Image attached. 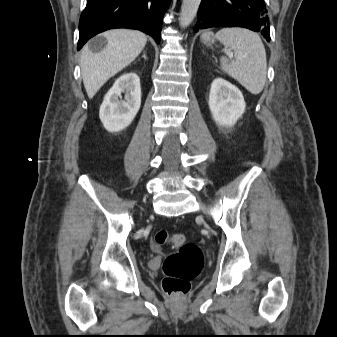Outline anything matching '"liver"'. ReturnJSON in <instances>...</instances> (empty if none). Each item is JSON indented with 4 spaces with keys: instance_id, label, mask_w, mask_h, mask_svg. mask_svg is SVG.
<instances>
[{
    "instance_id": "6515ba94",
    "label": "liver",
    "mask_w": 337,
    "mask_h": 337,
    "mask_svg": "<svg viewBox=\"0 0 337 337\" xmlns=\"http://www.w3.org/2000/svg\"><path fill=\"white\" fill-rule=\"evenodd\" d=\"M107 44L94 53L86 45L81 53V73L91 99L108 79L134 61L147 43L144 33L129 29H114L102 33Z\"/></svg>"
}]
</instances>
